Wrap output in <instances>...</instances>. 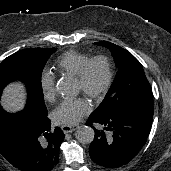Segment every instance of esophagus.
<instances>
[{"label": "esophagus", "mask_w": 171, "mask_h": 171, "mask_svg": "<svg viewBox=\"0 0 171 171\" xmlns=\"http://www.w3.org/2000/svg\"><path fill=\"white\" fill-rule=\"evenodd\" d=\"M61 129L66 134V133H71L75 131L77 129V126L76 125H63Z\"/></svg>", "instance_id": "1"}]
</instances>
